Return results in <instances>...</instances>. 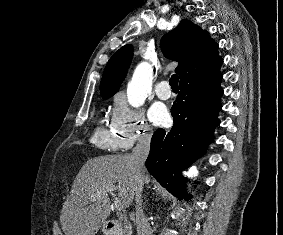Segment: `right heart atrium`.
Masks as SVG:
<instances>
[{
    "label": "right heart atrium",
    "instance_id": "right-heart-atrium-1",
    "mask_svg": "<svg viewBox=\"0 0 283 235\" xmlns=\"http://www.w3.org/2000/svg\"><path fill=\"white\" fill-rule=\"evenodd\" d=\"M110 127L116 135L117 146L130 149L136 143H147L153 131L142 112L132 108L124 98L116 99Z\"/></svg>",
    "mask_w": 283,
    "mask_h": 235
}]
</instances>
